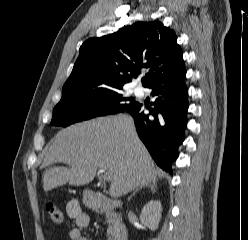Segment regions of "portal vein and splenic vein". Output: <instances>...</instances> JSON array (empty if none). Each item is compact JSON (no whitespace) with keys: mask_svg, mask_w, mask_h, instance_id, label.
<instances>
[{"mask_svg":"<svg viewBox=\"0 0 248 240\" xmlns=\"http://www.w3.org/2000/svg\"><path fill=\"white\" fill-rule=\"evenodd\" d=\"M101 174H102L103 178L106 180H111L113 177V174L111 172L105 170V169L101 170Z\"/></svg>","mask_w":248,"mask_h":240,"instance_id":"obj_1","label":"portal vein and splenic vein"}]
</instances>
